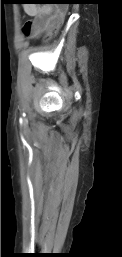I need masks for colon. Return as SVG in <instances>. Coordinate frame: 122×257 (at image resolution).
Masks as SVG:
<instances>
[{
	"instance_id": "5ec220e1",
	"label": "colon",
	"mask_w": 122,
	"mask_h": 257,
	"mask_svg": "<svg viewBox=\"0 0 122 257\" xmlns=\"http://www.w3.org/2000/svg\"><path fill=\"white\" fill-rule=\"evenodd\" d=\"M72 2H58L57 3V21H54V26H50L48 30V34H46V39H55V35L61 34V29H63V24L66 23L67 13L71 12ZM24 32H26V28L24 27Z\"/></svg>"
}]
</instances>
